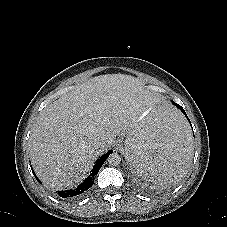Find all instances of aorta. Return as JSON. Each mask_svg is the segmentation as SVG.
I'll return each instance as SVG.
<instances>
[{
    "label": "aorta",
    "instance_id": "obj_1",
    "mask_svg": "<svg viewBox=\"0 0 227 227\" xmlns=\"http://www.w3.org/2000/svg\"><path fill=\"white\" fill-rule=\"evenodd\" d=\"M108 163L113 166H117L121 163V157L118 153H112L108 157Z\"/></svg>",
    "mask_w": 227,
    "mask_h": 227
}]
</instances>
